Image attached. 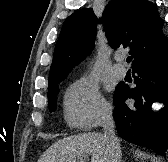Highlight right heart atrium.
<instances>
[{"label": "right heart atrium", "mask_w": 168, "mask_h": 162, "mask_svg": "<svg viewBox=\"0 0 168 162\" xmlns=\"http://www.w3.org/2000/svg\"><path fill=\"white\" fill-rule=\"evenodd\" d=\"M110 115L111 106L102 97L93 79L80 78L68 87L64 117L69 125L90 129L107 121Z\"/></svg>", "instance_id": "right-heart-atrium-1"}]
</instances>
